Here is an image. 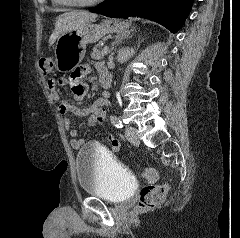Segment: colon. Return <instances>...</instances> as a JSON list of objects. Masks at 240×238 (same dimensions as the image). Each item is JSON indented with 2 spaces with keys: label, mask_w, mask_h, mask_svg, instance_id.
Instances as JSON below:
<instances>
[{
  "label": "colon",
  "mask_w": 240,
  "mask_h": 238,
  "mask_svg": "<svg viewBox=\"0 0 240 238\" xmlns=\"http://www.w3.org/2000/svg\"><path fill=\"white\" fill-rule=\"evenodd\" d=\"M39 66L42 72L48 74L53 69V59L43 57L39 60ZM143 177L151 184L141 189L139 206L143 209H152L163 202L169 191V186L167 184H154L157 179V172L153 168L145 169Z\"/></svg>",
  "instance_id": "obj_1"
}]
</instances>
